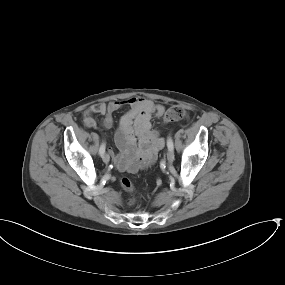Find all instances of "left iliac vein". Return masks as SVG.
I'll use <instances>...</instances> for the list:
<instances>
[{"label": "left iliac vein", "mask_w": 285, "mask_h": 285, "mask_svg": "<svg viewBox=\"0 0 285 285\" xmlns=\"http://www.w3.org/2000/svg\"><path fill=\"white\" fill-rule=\"evenodd\" d=\"M166 157H167V162L168 163H172L174 161L175 156H174L173 149H168Z\"/></svg>", "instance_id": "left-iliac-vein-1"}]
</instances>
